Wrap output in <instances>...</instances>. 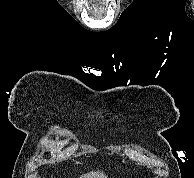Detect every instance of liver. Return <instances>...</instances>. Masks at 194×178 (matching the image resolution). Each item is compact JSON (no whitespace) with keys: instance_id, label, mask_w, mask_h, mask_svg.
I'll use <instances>...</instances> for the list:
<instances>
[{"instance_id":"1","label":"liver","mask_w":194,"mask_h":178,"mask_svg":"<svg viewBox=\"0 0 194 178\" xmlns=\"http://www.w3.org/2000/svg\"><path fill=\"white\" fill-rule=\"evenodd\" d=\"M80 178H107V176L103 172H100V171L93 172L92 171L90 173L80 176Z\"/></svg>"}]
</instances>
